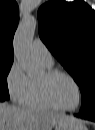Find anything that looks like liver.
<instances>
[{"instance_id": "liver-1", "label": "liver", "mask_w": 95, "mask_h": 130, "mask_svg": "<svg viewBox=\"0 0 95 130\" xmlns=\"http://www.w3.org/2000/svg\"><path fill=\"white\" fill-rule=\"evenodd\" d=\"M70 117L56 112L0 104V130H52L57 123Z\"/></svg>"}]
</instances>
